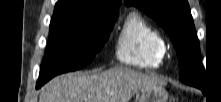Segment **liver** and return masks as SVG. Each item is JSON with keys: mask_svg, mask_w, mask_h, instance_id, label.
<instances>
[{"mask_svg": "<svg viewBox=\"0 0 221 102\" xmlns=\"http://www.w3.org/2000/svg\"><path fill=\"white\" fill-rule=\"evenodd\" d=\"M159 84V78L129 68L93 75L68 73L48 82L41 90L39 102H129L139 90Z\"/></svg>", "mask_w": 221, "mask_h": 102, "instance_id": "6515ba94", "label": "liver"}]
</instances>
